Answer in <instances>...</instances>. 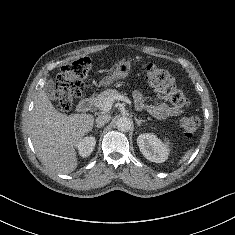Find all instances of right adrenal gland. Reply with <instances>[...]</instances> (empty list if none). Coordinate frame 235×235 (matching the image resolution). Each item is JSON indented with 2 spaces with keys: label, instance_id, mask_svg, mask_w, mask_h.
I'll return each instance as SVG.
<instances>
[{
  "label": "right adrenal gland",
  "instance_id": "2a0ac1e0",
  "mask_svg": "<svg viewBox=\"0 0 235 235\" xmlns=\"http://www.w3.org/2000/svg\"><path fill=\"white\" fill-rule=\"evenodd\" d=\"M96 128H101L102 126L101 125H95Z\"/></svg>",
  "mask_w": 235,
  "mask_h": 235
}]
</instances>
